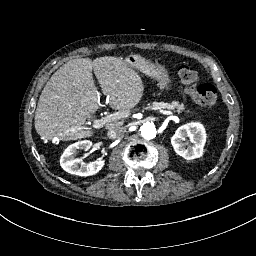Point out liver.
<instances>
[{
    "label": "liver",
    "instance_id": "6515ba94",
    "mask_svg": "<svg viewBox=\"0 0 256 256\" xmlns=\"http://www.w3.org/2000/svg\"><path fill=\"white\" fill-rule=\"evenodd\" d=\"M92 69L112 109L128 114L142 101L143 80L127 60L112 55L70 60L51 76L39 97L35 129L41 137L75 141L94 135L85 123L101 104ZM124 123V120H111L104 129L121 127Z\"/></svg>",
    "mask_w": 256,
    "mask_h": 256
}]
</instances>
